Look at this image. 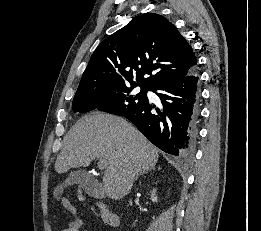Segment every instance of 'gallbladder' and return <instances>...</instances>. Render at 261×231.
<instances>
[{"instance_id":"1","label":"gallbladder","mask_w":261,"mask_h":231,"mask_svg":"<svg viewBox=\"0 0 261 231\" xmlns=\"http://www.w3.org/2000/svg\"><path fill=\"white\" fill-rule=\"evenodd\" d=\"M73 184L81 185L82 188L90 195H100L102 197L104 196L101 184H99L95 178H93L84 170L72 171L65 182L56 188V194L62 193L64 187Z\"/></svg>"}]
</instances>
